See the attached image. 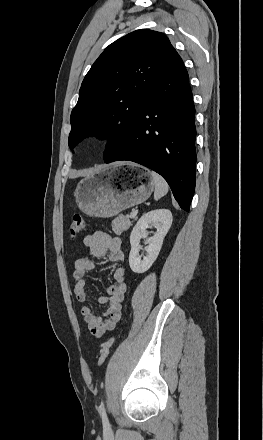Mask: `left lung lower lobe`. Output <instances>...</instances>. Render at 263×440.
I'll return each mask as SVG.
<instances>
[{
    "instance_id": "left-lung-lower-lobe-1",
    "label": "left lung lower lobe",
    "mask_w": 263,
    "mask_h": 440,
    "mask_svg": "<svg viewBox=\"0 0 263 440\" xmlns=\"http://www.w3.org/2000/svg\"><path fill=\"white\" fill-rule=\"evenodd\" d=\"M195 137L189 77L175 50L136 117L129 148L105 162L133 161L159 173L180 207L189 212L196 182Z\"/></svg>"
}]
</instances>
